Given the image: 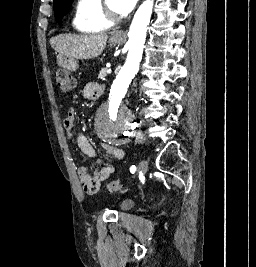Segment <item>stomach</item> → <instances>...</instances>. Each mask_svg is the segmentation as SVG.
I'll list each match as a JSON object with an SVG mask.
<instances>
[{
  "label": "stomach",
  "instance_id": "stomach-1",
  "mask_svg": "<svg viewBox=\"0 0 256 267\" xmlns=\"http://www.w3.org/2000/svg\"><path fill=\"white\" fill-rule=\"evenodd\" d=\"M124 36H122V32L118 34V38L116 36H113V38H110L109 44L110 46H117L119 40H122ZM56 67H75V62H56Z\"/></svg>",
  "mask_w": 256,
  "mask_h": 267
}]
</instances>
